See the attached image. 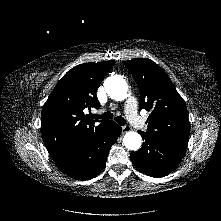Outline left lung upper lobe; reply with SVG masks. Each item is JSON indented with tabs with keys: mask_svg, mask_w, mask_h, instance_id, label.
Returning <instances> with one entry per match:
<instances>
[{
	"mask_svg": "<svg viewBox=\"0 0 221 221\" xmlns=\"http://www.w3.org/2000/svg\"><path fill=\"white\" fill-rule=\"evenodd\" d=\"M140 90V110L150 111L146 134L161 141L187 147L190 123L185 101L166 72L147 58L123 61Z\"/></svg>",
	"mask_w": 221,
	"mask_h": 221,
	"instance_id": "5c2ea615",
	"label": "left lung upper lobe"
}]
</instances>
